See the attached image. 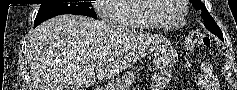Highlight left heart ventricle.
Instances as JSON below:
<instances>
[{
	"instance_id": "obj_1",
	"label": "left heart ventricle",
	"mask_w": 237,
	"mask_h": 90,
	"mask_svg": "<svg viewBox=\"0 0 237 90\" xmlns=\"http://www.w3.org/2000/svg\"><path fill=\"white\" fill-rule=\"evenodd\" d=\"M151 2L152 6H158L152 16L159 23L169 26L178 22L181 16V9L177 4V0H151Z\"/></svg>"
}]
</instances>
